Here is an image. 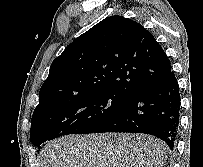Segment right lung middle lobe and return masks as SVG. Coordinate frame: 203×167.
<instances>
[{
  "mask_svg": "<svg viewBox=\"0 0 203 167\" xmlns=\"http://www.w3.org/2000/svg\"><path fill=\"white\" fill-rule=\"evenodd\" d=\"M126 99L122 94L103 91L65 99L34 111L30 128L31 142L39 147L63 135L92 133Z\"/></svg>",
  "mask_w": 203,
  "mask_h": 167,
  "instance_id": "right-lung-middle-lobe-1",
  "label": "right lung middle lobe"
}]
</instances>
